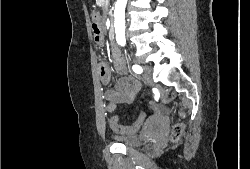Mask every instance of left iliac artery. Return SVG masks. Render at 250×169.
Returning <instances> with one entry per match:
<instances>
[{
	"label": "left iliac artery",
	"instance_id": "left-iliac-artery-1",
	"mask_svg": "<svg viewBox=\"0 0 250 169\" xmlns=\"http://www.w3.org/2000/svg\"><path fill=\"white\" fill-rule=\"evenodd\" d=\"M132 69H133V71H134L135 73H137V74H141V73L143 72L142 67L139 66V65H137V64L133 65V66H132Z\"/></svg>",
	"mask_w": 250,
	"mask_h": 169
}]
</instances>
